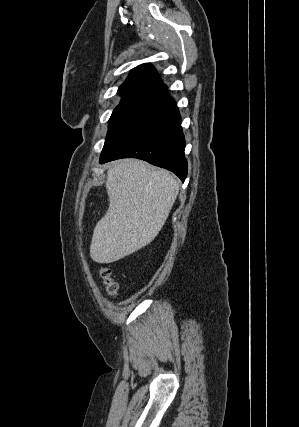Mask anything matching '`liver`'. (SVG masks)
Returning <instances> with one entry per match:
<instances>
[{
	"label": "liver",
	"mask_w": 299,
	"mask_h": 427,
	"mask_svg": "<svg viewBox=\"0 0 299 427\" xmlns=\"http://www.w3.org/2000/svg\"><path fill=\"white\" fill-rule=\"evenodd\" d=\"M180 184L167 170L124 159L107 171L109 208L96 224L90 256L112 263L148 245L165 224Z\"/></svg>",
	"instance_id": "6515ba94"
}]
</instances>
